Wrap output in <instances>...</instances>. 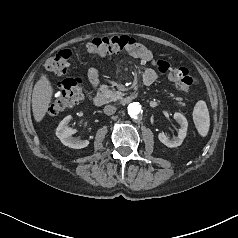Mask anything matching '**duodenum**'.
Returning <instances> with one entry per match:
<instances>
[{
	"mask_svg": "<svg viewBox=\"0 0 238 238\" xmlns=\"http://www.w3.org/2000/svg\"><path fill=\"white\" fill-rule=\"evenodd\" d=\"M137 97H138L137 93L128 94L122 99V103L129 104L132 101H134L135 99H137ZM92 101H93L94 105L101 106L105 103V97L102 94H98V95H95L92 97Z\"/></svg>",
	"mask_w": 238,
	"mask_h": 238,
	"instance_id": "obj_1",
	"label": "duodenum"
}]
</instances>
